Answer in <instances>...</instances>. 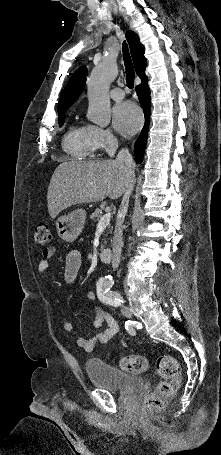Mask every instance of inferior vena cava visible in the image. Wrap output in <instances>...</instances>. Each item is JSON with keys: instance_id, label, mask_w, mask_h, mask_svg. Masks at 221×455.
Here are the masks:
<instances>
[{"instance_id": "inferior-vena-cava-1", "label": "inferior vena cava", "mask_w": 221, "mask_h": 455, "mask_svg": "<svg viewBox=\"0 0 221 455\" xmlns=\"http://www.w3.org/2000/svg\"><path fill=\"white\" fill-rule=\"evenodd\" d=\"M118 164H120L126 171L128 176V182L126 189L122 198V202L119 207L117 222L114 230L113 244H112V268L113 270L117 269L120 264L121 251L123 247V222L126 216L129 198L132 193L135 181V163L133 161L132 155L129 153L127 148H122L116 158Z\"/></svg>"}]
</instances>
